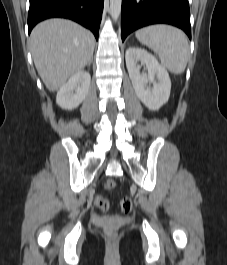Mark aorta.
<instances>
[{"label":"aorta","instance_id":"obj_1","mask_svg":"<svg viewBox=\"0 0 227 265\" xmlns=\"http://www.w3.org/2000/svg\"><path fill=\"white\" fill-rule=\"evenodd\" d=\"M122 0H110V14L114 21H117L121 13Z\"/></svg>","mask_w":227,"mask_h":265}]
</instances>
